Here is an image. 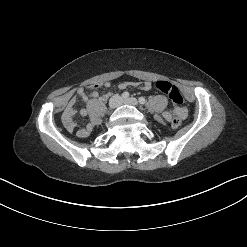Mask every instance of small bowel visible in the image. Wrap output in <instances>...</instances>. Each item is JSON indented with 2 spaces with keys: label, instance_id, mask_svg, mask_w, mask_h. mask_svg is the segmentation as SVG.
I'll return each instance as SVG.
<instances>
[{
  "label": "small bowel",
  "instance_id": "obj_1",
  "mask_svg": "<svg viewBox=\"0 0 247 247\" xmlns=\"http://www.w3.org/2000/svg\"><path fill=\"white\" fill-rule=\"evenodd\" d=\"M101 86H104L106 88L111 87V83L110 82H104V83H96L91 85V88L96 89L99 88ZM119 88L121 90L127 89V88H140L143 90H149L151 89V83L148 81H142V82H122L119 84ZM81 97L83 100L88 101L91 99H96L99 97L98 92L93 91L91 93H87L83 88H79L77 90V95L73 96L64 112L62 115V122L64 127L66 128V130L69 133H73L76 136L83 138V137H87L92 129H93V124L92 123H88L87 125H85L84 127H78L76 122L74 121V115L76 113V110L74 108V105L77 101V98ZM80 114L82 116H86L88 114V110L86 108H82L80 110ZM178 116L180 118H185L187 116V110L184 107H176L174 108L172 111H167L164 113V118L168 121L171 120V118L173 116Z\"/></svg>",
  "mask_w": 247,
  "mask_h": 247
}]
</instances>
